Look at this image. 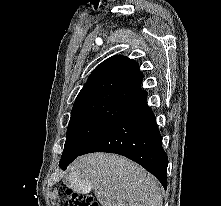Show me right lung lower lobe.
<instances>
[{"mask_svg":"<svg viewBox=\"0 0 221 206\" xmlns=\"http://www.w3.org/2000/svg\"><path fill=\"white\" fill-rule=\"evenodd\" d=\"M147 95L128 107L79 154L109 152L123 155L144 167L167 188L168 158ZM73 161V160H72ZM72 161L60 165L65 169Z\"/></svg>","mask_w":221,"mask_h":206,"instance_id":"obj_1","label":"right lung lower lobe"}]
</instances>
